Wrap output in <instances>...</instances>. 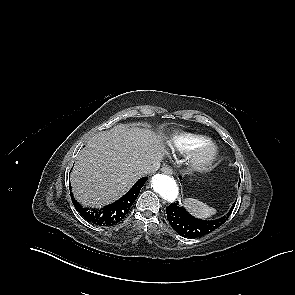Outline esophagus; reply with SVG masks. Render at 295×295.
<instances>
[{
    "instance_id": "34e87169",
    "label": "esophagus",
    "mask_w": 295,
    "mask_h": 295,
    "mask_svg": "<svg viewBox=\"0 0 295 295\" xmlns=\"http://www.w3.org/2000/svg\"><path fill=\"white\" fill-rule=\"evenodd\" d=\"M161 171H162L163 173H165V174H168V175H172V174H173V170H172L170 167H167V166L163 167V168L161 169Z\"/></svg>"
}]
</instances>
